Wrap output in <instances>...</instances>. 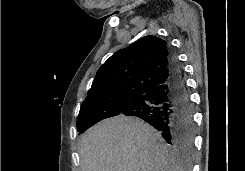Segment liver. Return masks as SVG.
Segmentation results:
<instances>
[{
  "label": "liver",
  "mask_w": 245,
  "mask_h": 171,
  "mask_svg": "<svg viewBox=\"0 0 245 171\" xmlns=\"http://www.w3.org/2000/svg\"><path fill=\"white\" fill-rule=\"evenodd\" d=\"M79 155L81 171H182L159 133L123 115L90 128L81 139Z\"/></svg>",
  "instance_id": "1"
}]
</instances>
